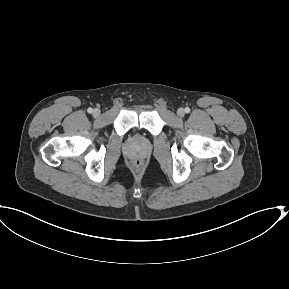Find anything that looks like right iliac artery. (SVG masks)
Here are the masks:
<instances>
[{"label":"right iliac artery","mask_w":289,"mask_h":289,"mask_svg":"<svg viewBox=\"0 0 289 289\" xmlns=\"http://www.w3.org/2000/svg\"><path fill=\"white\" fill-rule=\"evenodd\" d=\"M88 113H92L93 112V109L92 108H88Z\"/></svg>","instance_id":"obj_1"}]
</instances>
